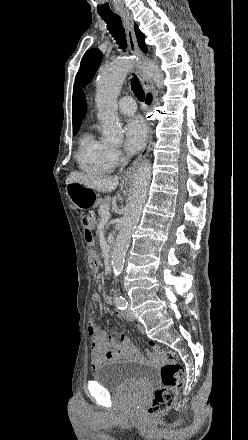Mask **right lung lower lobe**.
Returning <instances> with one entry per match:
<instances>
[{"label":"right lung lower lobe","instance_id":"98d812e1","mask_svg":"<svg viewBox=\"0 0 248 440\" xmlns=\"http://www.w3.org/2000/svg\"><path fill=\"white\" fill-rule=\"evenodd\" d=\"M150 102H151V95H147L146 103H150Z\"/></svg>","mask_w":248,"mask_h":440}]
</instances>
